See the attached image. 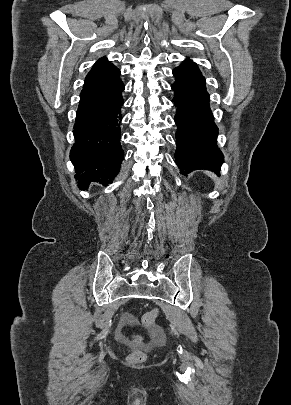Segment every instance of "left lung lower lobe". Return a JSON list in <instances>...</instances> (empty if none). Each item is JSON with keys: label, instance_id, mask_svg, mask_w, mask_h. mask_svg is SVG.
<instances>
[{"label": "left lung lower lobe", "instance_id": "obj_1", "mask_svg": "<svg viewBox=\"0 0 291 405\" xmlns=\"http://www.w3.org/2000/svg\"><path fill=\"white\" fill-rule=\"evenodd\" d=\"M173 75L176 81L171 85L175 91L172 102L177 107L174 121L178 126L176 164L185 176L197 169L219 173L224 156L216 146L218 131L209 107L205 78L189 59L176 67Z\"/></svg>", "mask_w": 291, "mask_h": 405}]
</instances>
